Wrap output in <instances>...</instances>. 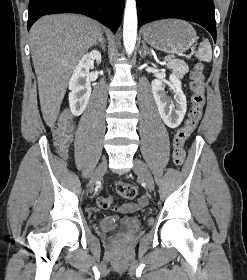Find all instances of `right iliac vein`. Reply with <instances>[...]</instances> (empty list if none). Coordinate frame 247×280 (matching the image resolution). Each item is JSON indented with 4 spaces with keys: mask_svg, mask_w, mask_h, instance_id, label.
Instances as JSON below:
<instances>
[{
    "mask_svg": "<svg viewBox=\"0 0 247 280\" xmlns=\"http://www.w3.org/2000/svg\"><path fill=\"white\" fill-rule=\"evenodd\" d=\"M107 170V162L104 161L102 162L98 167L97 169L95 170L93 176H92V186L99 180L102 178V176L105 174Z\"/></svg>",
    "mask_w": 247,
    "mask_h": 280,
    "instance_id": "1",
    "label": "right iliac vein"
}]
</instances>
